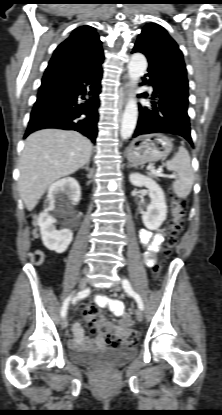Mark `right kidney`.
Instances as JSON below:
<instances>
[{
    "instance_id": "right-kidney-1",
    "label": "right kidney",
    "mask_w": 222,
    "mask_h": 415,
    "mask_svg": "<svg viewBox=\"0 0 222 415\" xmlns=\"http://www.w3.org/2000/svg\"><path fill=\"white\" fill-rule=\"evenodd\" d=\"M67 196L72 205H77L80 201L81 190L79 183L72 177L63 178L51 184L48 189V205L38 218V225L42 236L43 244L52 251L63 253L73 239L71 230L63 228L56 229V217L65 215L64 210H55L56 198Z\"/></svg>"
}]
</instances>
